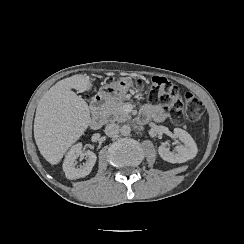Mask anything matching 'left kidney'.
Segmentation results:
<instances>
[{"label":"left kidney","instance_id":"1","mask_svg":"<svg viewBox=\"0 0 244 244\" xmlns=\"http://www.w3.org/2000/svg\"><path fill=\"white\" fill-rule=\"evenodd\" d=\"M174 134L184 145L175 147L177 153L171 152L165 146H159L158 152L160 157L170 163H184L193 159L197 155L198 148L191 135L181 128H174Z\"/></svg>","mask_w":244,"mask_h":244}]
</instances>
